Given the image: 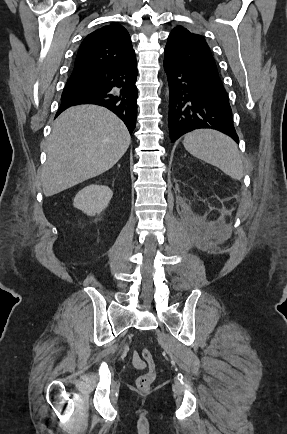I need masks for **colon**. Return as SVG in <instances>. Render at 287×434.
<instances>
[{
  "instance_id": "1",
  "label": "colon",
  "mask_w": 287,
  "mask_h": 434,
  "mask_svg": "<svg viewBox=\"0 0 287 434\" xmlns=\"http://www.w3.org/2000/svg\"><path fill=\"white\" fill-rule=\"evenodd\" d=\"M141 359L147 365L148 370L137 378L136 385L139 390L148 391L156 377V364L152 353L148 349L142 350Z\"/></svg>"
}]
</instances>
